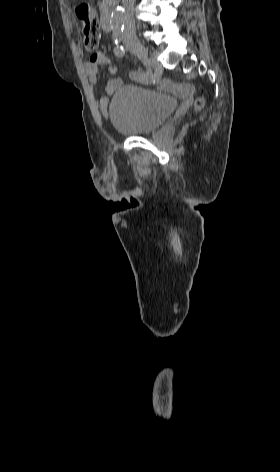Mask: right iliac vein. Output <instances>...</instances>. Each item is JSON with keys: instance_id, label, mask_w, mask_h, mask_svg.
Listing matches in <instances>:
<instances>
[{"instance_id": "right-iliac-vein-1", "label": "right iliac vein", "mask_w": 280, "mask_h": 472, "mask_svg": "<svg viewBox=\"0 0 280 472\" xmlns=\"http://www.w3.org/2000/svg\"><path fill=\"white\" fill-rule=\"evenodd\" d=\"M126 47L134 53L144 64L148 63V51L135 36H127L124 39Z\"/></svg>"}]
</instances>
